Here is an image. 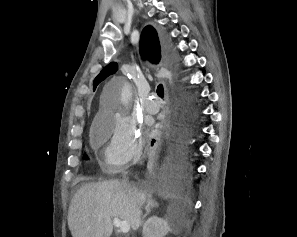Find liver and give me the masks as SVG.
I'll use <instances>...</instances> for the list:
<instances>
[{
	"mask_svg": "<svg viewBox=\"0 0 297 237\" xmlns=\"http://www.w3.org/2000/svg\"><path fill=\"white\" fill-rule=\"evenodd\" d=\"M147 193L123 182L110 180L88 183L73 196L68 226L73 237H110L112 218L129 222L133 231L141 224Z\"/></svg>",
	"mask_w": 297,
	"mask_h": 237,
	"instance_id": "obj_1",
	"label": "liver"
}]
</instances>
